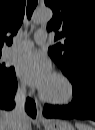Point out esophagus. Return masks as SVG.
<instances>
[{"label": "esophagus", "instance_id": "esophagus-1", "mask_svg": "<svg viewBox=\"0 0 95 130\" xmlns=\"http://www.w3.org/2000/svg\"><path fill=\"white\" fill-rule=\"evenodd\" d=\"M36 108H37V116H36L37 120L38 121L44 120L43 107L37 100H36Z\"/></svg>", "mask_w": 95, "mask_h": 130}]
</instances>
